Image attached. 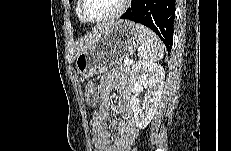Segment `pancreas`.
Returning a JSON list of instances; mask_svg holds the SVG:
<instances>
[{
  "label": "pancreas",
  "mask_w": 231,
  "mask_h": 151,
  "mask_svg": "<svg viewBox=\"0 0 231 151\" xmlns=\"http://www.w3.org/2000/svg\"><path fill=\"white\" fill-rule=\"evenodd\" d=\"M117 65L121 69V71L131 74L133 69H134V64L133 63H125L123 60L117 62Z\"/></svg>",
  "instance_id": "obj_1"
}]
</instances>
